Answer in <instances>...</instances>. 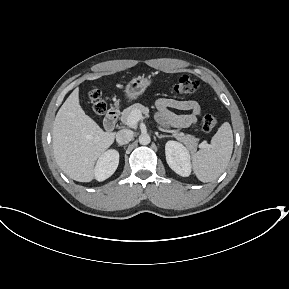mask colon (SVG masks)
Here are the masks:
<instances>
[{
  "instance_id": "1",
  "label": "colon",
  "mask_w": 289,
  "mask_h": 289,
  "mask_svg": "<svg viewBox=\"0 0 289 289\" xmlns=\"http://www.w3.org/2000/svg\"><path fill=\"white\" fill-rule=\"evenodd\" d=\"M200 87L197 80L188 75L179 76L170 86V90L178 95H189L195 93ZM89 101L95 113L103 114L106 110V104L102 100L101 91L98 88H92L88 94ZM218 126V120L213 115H205L202 119V128L205 132H211Z\"/></svg>"
}]
</instances>
